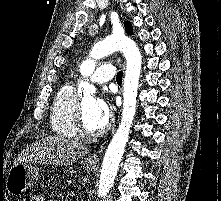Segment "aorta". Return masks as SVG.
I'll list each match as a JSON object with an SVG mask.
<instances>
[{"label":"aorta","instance_id":"1","mask_svg":"<svg viewBox=\"0 0 221 201\" xmlns=\"http://www.w3.org/2000/svg\"><path fill=\"white\" fill-rule=\"evenodd\" d=\"M115 51H121L126 59L124 78L123 111L119 127L114 134L103 159L99 180L98 196L104 197L113 186L125 146L129 139L132 122L136 113L137 92L141 71L142 58L137 45L125 35H111L97 42L91 52L92 59L84 61L80 66L83 76H90L95 69V60L104 58ZM91 85L81 81L78 93L88 92Z\"/></svg>","mask_w":221,"mask_h":201}]
</instances>
